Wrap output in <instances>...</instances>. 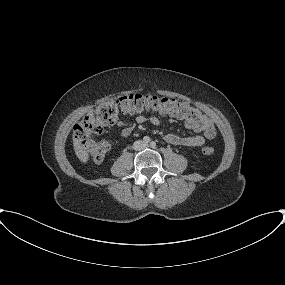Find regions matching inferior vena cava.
Masks as SVG:
<instances>
[{
    "mask_svg": "<svg viewBox=\"0 0 285 285\" xmlns=\"http://www.w3.org/2000/svg\"><path fill=\"white\" fill-rule=\"evenodd\" d=\"M145 147H146V144L141 140L135 141L133 144V148L136 151L143 150Z\"/></svg>",
    "mask_w": 285,
    "mask_h": 285,
    "instance_id": "inferior-vena-cava-1",
    "label": "inferior vena cava"
}]
</instances>
